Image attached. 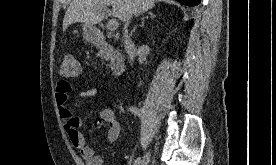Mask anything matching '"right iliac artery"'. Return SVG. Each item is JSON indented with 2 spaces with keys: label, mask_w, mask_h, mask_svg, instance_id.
I'll list each match as a JSON object with an SVG mask.
<instances>
[{
  "label": "right iliac artery",
  "mask_w": 276,
  "mask_h": 165,
  "mask_svg": "<svg viewBox=\"0 0 276 165\" xmlns=\"http://www.w3.org/2000/svg\"><path fill=\"white\" fill-rule=\"evenodd\" d=\"M129 110H130L132 113H134L135 115H139V109H138V108L130 107ZM140 161H141V158L138 157V158L135 160L134 165H139Z\"/></svg>",
  "instance_id": "right-iliac-artery-1"
}]
</instances>
